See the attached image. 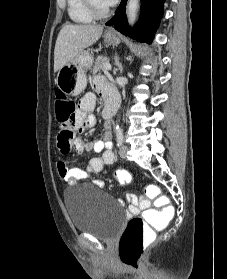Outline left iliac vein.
<instances>
[{
  "mask_svg": "<svg viewBox=\"0 0 227 279\" xmlns=\"http://www.w3.org/2000/svg\"><path fill=\"white\" fill-rule=\"evenodd\" d=\"M129 147L126 145H122L119 151V155L121 158L125 159L128 154Z\"/></svg>",
  "mask_w": 227,
  "mask_h": 279,
  "instance_id": "1",
  "label": "left iliac vein"
}]
</instances>
